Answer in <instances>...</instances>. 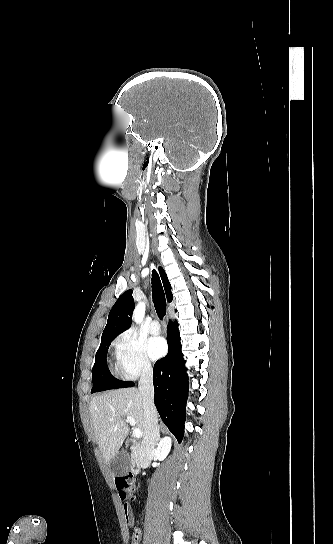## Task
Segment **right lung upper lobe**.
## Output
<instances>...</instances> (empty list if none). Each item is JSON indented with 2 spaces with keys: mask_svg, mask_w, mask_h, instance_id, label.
<instances>
[{
  "mask_svg": "<svg viewBox=\"0 0 333 544\" xmlns=\"http://www.w3.org/2000/svg\"><path fill=\"white\" fill-rule=\"evenodd\" d=\"M160 275L165 288L166 296L169 302L172 301L173 295L171 285L164 270L159 268ZM134 310V299L132 290L124 292L116 301L111 311L109 312L106 327L102 334V339L116 337L131 326V317Z\"/></svg>",
  "mask_w": 333,
  "mask_h": 544,
  "instance_id": "1",
  "label": "right lung upper lobe"
}]
</instances>
